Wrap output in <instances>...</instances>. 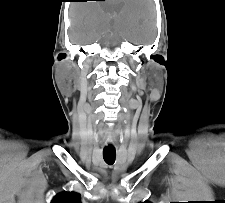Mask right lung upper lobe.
I'll use <instances>...</instances> for the list:
<instances>
[{"mask_svg":"<svg viewBox=\"0 0 225 203\" xmlns=\"http://www.w3.org/2000/svg\"><path fill=\"white\" fill-rule=\"evenodd\" d=\"M51 203H81V197L75 192H62L56 195Z\"/></svg>","mask_w":225,"mask_h":203,"instance_id":"1","label":"right lung upper lobe"}]
</instances>
